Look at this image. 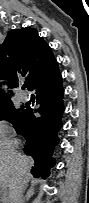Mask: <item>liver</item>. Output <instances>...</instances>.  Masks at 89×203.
<instances>
[{"mask_svg":"<svg viewBox=\"0 0 89 203\" xmlns=\"http://www.w3.org/2000/svg\"><path fill=\"white\" fill-rule=\"evenodd\" d=\"M17 144V140L3 141L0 151V192L2 197L8 194L5 203H15L20 183L28 180L30 169L34 164L31 157L14 150Z\"/></svg>","mask_w":89,"mask_h":203,"instance_id":"6515ba94","label":"liver"}]
</instances>
